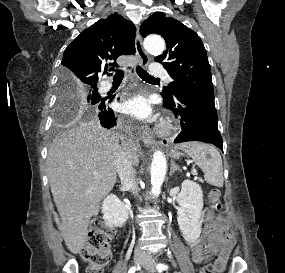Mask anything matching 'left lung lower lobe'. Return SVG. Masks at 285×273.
<instances>
[{
	"label": "left lung lower lobe",
	"mask_w": 285,
	"mask_h": 273,
	"mask_svg": "<svg viewBox=\"0 0 285 273\" xmlns=\"http://www.w3.org/2000/svg\"><path fill=\"white\" fill-rule=\"evenodd\" d=\"M163 96V95H162ZM165 107L180 117L182 131L174 140L204 141L212 143L223 151V141L218 130L214 94H177L175 98L163 96Z\"/></svg>",
	"instance_id": "1"
}]
</instances>
